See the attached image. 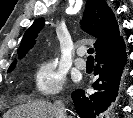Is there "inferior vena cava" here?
Masks as SVG:
<instances>
[{
  "mask_svg": "<svg viewBox=\"0 0 133 118\" xmlns=\"http://www.w3.org/2000/svg\"><path fill=\"white\" fill-rule=\"evenodd\" d=\"M54 107L56 110L57 118H67L65 107L61 101H56L54 103Z\"/></svg>",
  "mask_w": 133,
  "mask_h": 118,
  "instance_id": "obj_1",
  "label": "inferior vena cava"
}]
</instances>
